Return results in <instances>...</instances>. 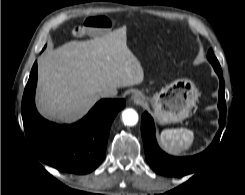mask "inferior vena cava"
<instances>
[{
	"label": "inferior vena cava",
	"mask_w": 245,
	"mask_h": 195,
	"mask_svg": "<svg viewBox=\"0 0 245 195\" xmlns=\"http://www.w3.org/2000/svg\"><path fill=\"white\" fill-rule=\"evenodd\" d=\"M116 94L117 93L113 90H105L101 93V96L102 97H114V96H116Z\"/></svg>",
	"instance_id": "inferior-vena-cava-1"
}]
</instances>
